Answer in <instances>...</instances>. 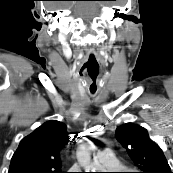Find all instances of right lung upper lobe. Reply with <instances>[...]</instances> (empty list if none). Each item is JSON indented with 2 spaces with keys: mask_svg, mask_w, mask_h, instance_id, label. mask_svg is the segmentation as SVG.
Returning <instances> with one entry per match:
<instances>
[{
  "mask_svg": "<svg viewBox=\"0 0 173 173\" xmlns=\"http://www.w3.org/2000/svg\"><path fill=\"white\" fill-rule=\"evenodd\" d=\"M69 142L64 123L50 120L23 138L11 159L9 172L62 173L61 153Z\"/></svg>",
  "mask_w": 173,
  "mask_h": 173,
  "instance_id": "1",
  "label": "right lung upper lobe"
}]
</instances>
